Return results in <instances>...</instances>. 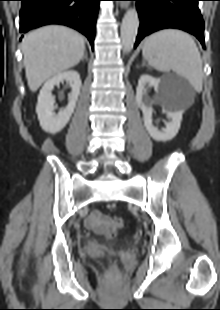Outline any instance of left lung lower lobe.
I'll return each instance as SVG.
<instances>
[{
  "mask_svg": "<svg viewBox=\"0 0 220 310\" xmlns=\"http://www.w3.org/2000/svg\"><path fill=\"white\" fill-rule=\"evenodd\" d=\"M137 2L140 27L135 47L147 35L176 28L195 35L205 47L204 22L198 8L200 0H133Z\"/></svg>",
  "mask_w": 220,
  "mask_h": 310,
  "instance_id": "0a47b994",
  "label": "left lung lower lobe"
}]
</instances>
